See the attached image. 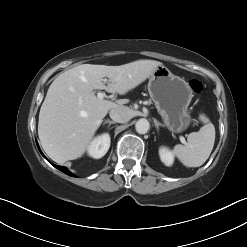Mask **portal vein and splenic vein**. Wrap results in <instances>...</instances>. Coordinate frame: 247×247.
Instances as JSON below:
<instances>
[{"mask_svg": "<svg viewBox=\"0 0 247 247\" xmlns=\"http://www.w3.org/2000/svg\"><path fill=\"white\" fill-rule=\"evenodd\" d=\"M97 97H98L99 99H103V98L105 97V94L102 93V92H99V93L97 94ZM180 141H181L183 144H186V140H185L184 137H180Z\"/></svg>", "mask_w": 247, "mask_h": 247, "instance_id": "obj_1", "label": "portal vein and splenic vein"}]
</instances>
